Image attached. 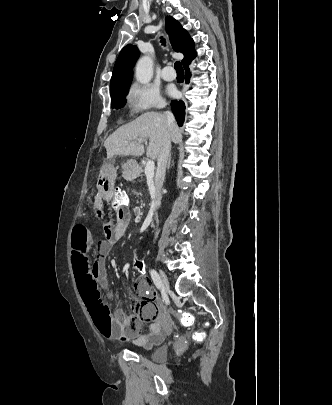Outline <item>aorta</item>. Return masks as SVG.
Returning a JSON list of instances; mask_svg holds the SVG:
<instances>
[{"label":"aorta","instance_id":"1","mask_svg":"<svg viewBox=\"0 0 332 405\" xmlns=\"http://www.w3.org/2000/svg\"><path fill=\"white\" fill-rule=\"evenodd\" d=\"M136 80L141 84H148L153 77V61L149 56L141 57L135 67Z\"/></svg>","mask_w":332,"mask_h":405}]
</instances>
